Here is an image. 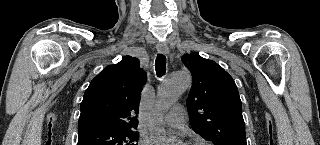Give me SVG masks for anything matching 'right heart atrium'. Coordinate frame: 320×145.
I'll return each instance as SVG.
<instances>
[{
  "label": "right heart atrium",
  "mask_w": 320,
  "mask_h": 145,
  "mask_svg": "<svg viewBox=\"0 0 320 145\" xmlns=\"http://www.w3.org/2000/svg\"><path fill=\"white\" fill-rule=\"evenodd\" d=\"M141 145H149V141L147 140H140Z\"/></svg>",
  "instance_id": "obj_1"
}]
</instances>
